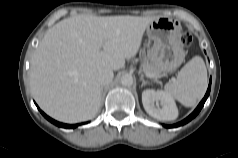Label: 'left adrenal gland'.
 <instances>
[{"label": "left adrenal gland", "mask_w": 238, "mask_h": 158, "mask_svg": "<svg viewBox=\"0 0 238 158\" xmlns=\"http://www.w3.org/2000/svg\"><path fill=\"white\" fill-rule=\"evenodd\" d=\"M140 80L142 81L141 87L145 86L148 82L143 78V75H141Z\"/></svg>", "instance_id": "1"}]
</instances>
